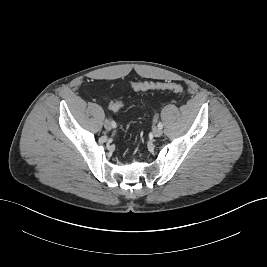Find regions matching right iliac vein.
I'll return each mask as SVG.
<instances>
[{
    "mask_svg": "<svg viewBox=\"0 0 267 267\" xmlns=\"http://www.w3.org/2000/svg\"><path fill=\"white\" fill-rule=\"evenodd\" d=\"M104 127H105L106 130H111L112 125L109 122V120H105L104 121Z\"/></svg>",
    "mask_w": 267,
    "mask_h": 267,
    "instance_id": "1",
    "label": "right iliac vein"
}]
</instances>
